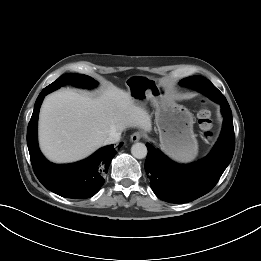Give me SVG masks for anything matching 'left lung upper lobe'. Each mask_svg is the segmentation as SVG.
<instances>
[{
	"mask_svg": "<svg viewBox=\"0 0 261 261\" xmlns=\"http://www.w3.org/2000/svg\"><path fill=\"white\" fill-rule=\"evenodd\" d=\"M202 79H205V78L202 76H192V77L182 79L180 81V84L184 85V86H188V87H193L196 85L197 81L202 80Z\"/></svg>",
	"mask_w": 261,
	"mask_h": 261,
	"instance_id": "left-lung-upper-lobe-1",
	"label": "left lung upper lobe"
}]
</instances>
